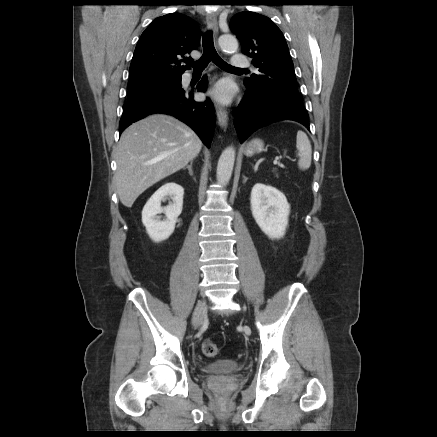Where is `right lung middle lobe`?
Wrapping results in <instances>:
<instances>
[{"instance_id":"dd1d6c3e","label":"right lung middle lobe","mask_w":437,"mask_h":437,"mask_svg":"<svg viewBox=\"0 0 437 437\" xmlns=\"http://www.w3.org/2000/svg\"><path fill=\"white\" fill-rule=\"evenodd\" d=\"M182 77H167L154 76L143 78L130 79L128 87V98L134 99L136 97L148 95L151 93L162 92L170 90L173 87L181 85Z\"/></svg>"}]
</instances>
